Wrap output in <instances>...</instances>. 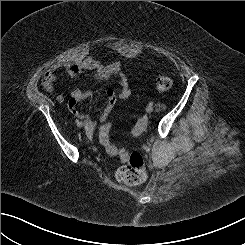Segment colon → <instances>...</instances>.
Wrapping results in <instances>:
<instances>
[{
    "label": "colon",
    "mask_w": 245,
    "mask_h": 245,
    "mask_svg": "<svg viewBox=\"0 0 245 245\" xmlns=\"http://www.w3.org/2000/svg\"><path fill=\"white\" fill-rule=\"evenodd\" d=\"M173 85V80L167 75H161L156 79V87L160 91L169 90ZM111 124L107 123L100 128L99 140L106 152L112 156H118L122 161L116 171L118 181L127 185H138L146 179V169L144 159L138 152L127 153L120 150L110 142Z\"/></svg>",
    "instance_id": "1"
}]
</instances>
